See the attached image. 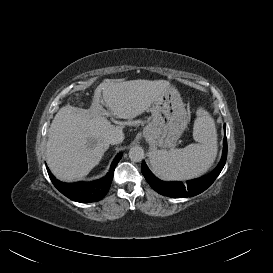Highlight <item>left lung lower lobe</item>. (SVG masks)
<instances>
[{"mask_svg": "<svg viewBox=\"0 0 273 273\" xmlns=\"http://www.w3.org/2000/svg\"><path fill=\"white\" fill-rule=\"evenodd\" d=\"M224 129L226 131V125H224ZM223 145V154L218 166L206 177L188 181L187 184H183L182 182H164L159 180L148 169L144 161L141 170L149 185L159 194L173 198L192 197L200 194L211 186L222 171L227 158L226 136H224Z\"/></svg>", "mask_w": 273, "mask_h": 273, "instance_id": "left-lung-lower-lobe-1", "label": "left lung lower lobe"}]
</instances>
